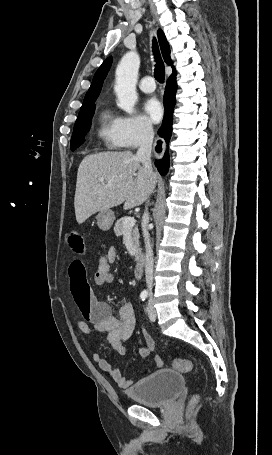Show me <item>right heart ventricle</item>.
Masks as SVG:
<instances>
[{"label":"right heart ventricle","mask_w":272,"mask_h":455,"mask_svg":"<svg viewBox=\"0 0 272 455\" xmlns=\"http://www.w3.org/2000/svg\"><path fill=\"white\" fill-rule=\"evenodd\" d=\"M98 135L108 149H118L121 146L117 133V118L108 109L99 114Z\"/></svg>","instance_id":"right-heart-ventricle-1"}]
</instances>
